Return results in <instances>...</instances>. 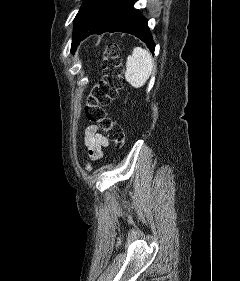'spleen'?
Returning a JSON list of instances; mask_svg holds the SVG:
<instances>
[{
    "instance_id": "obj_1",
    "label": "spleen",
    "mask_w": 240,
    "mask_h": 281,
    "mask_svg": "<svg viewBox=\"0 0 240 281\" xmlns=\"http://www.w3.org/2000/svg\"><path fill=\"white\" fill-rule=\"evenodd\" d=\"M153 70L152 55L141 47H135L126 60V81L135 88L142 87Z\"/></svg>"
}]
</instances>
